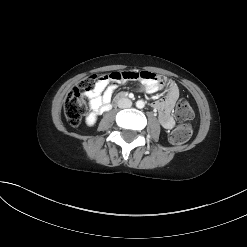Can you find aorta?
<instances>
[{
  "mask_svg": "<svg viewBox=\"0 0 247 247\" xmlns=\"http://www.w3.org/2000/svg\"><path fill=\"white\" fill-rule=\"evenodd\" d=\"M144 106H145V102L143 100H138L136 102V107L137 108L142 109V108H144Z\"/></svg>",
  "mask_w": 247,
  "mask_h": 247,
  "instance_id": "762f6f07",
  "label": "aorta"
}]
</instances>
